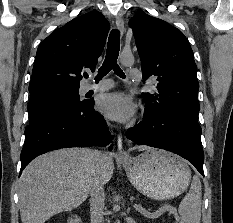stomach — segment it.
Wrapping results in <instances>:
<instances>
[{"label": "stomach", "mask_w": 233, "mask_h": 223, "mask_svg": "<svg viewBox=\"0 0 233 223\" xmlns=\"http://www.w3.org/2000/svg\"><path fill=\"white\" fill-rule=\"evenodd\" d=\"M121 161L130 183L151 199L177 197L190 183L187 161L164 149H147Z\"/></svg>", "instance_id": "0dacf381"}]
</instances>
